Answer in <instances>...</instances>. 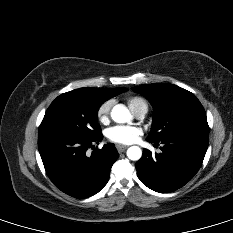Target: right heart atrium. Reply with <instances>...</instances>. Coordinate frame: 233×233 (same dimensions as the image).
<instances>
[{"label":"right heart atrium","mask_w":233,"mask_h":233,"mask_svg":"<svg viewBox=\"0 0 233 233\" xmlns=\"http://www.w3.org/2000/svg\"><path fill=\"white\" fill-rule=\"evenodd\" d=\"M112 105V100H107L100 104V106L97 109V118L100 122L104 123L108 120Z\"/></svg>","instance_id":"d8ad5b80"}]
</instances>
